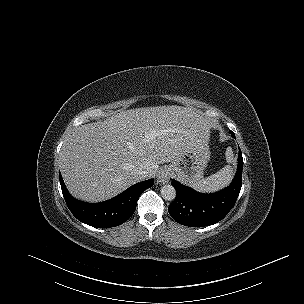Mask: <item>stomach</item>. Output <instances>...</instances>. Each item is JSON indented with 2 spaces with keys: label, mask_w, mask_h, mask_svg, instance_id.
I'll return each mask as SVG.
<instances>
[{
  "label": "stomach",
  "mask_w": 304,
  "mask_h": 304,
  "mask_svg": "<svg viewBox=\"0 0 304 304\" xmlns=\"http://www.w3.org/2000/svg\"><path fill=\"white\" fill-rule=\"evenodd\" d=\"M209 158L208 147H194L186 151L179 160L173 161L168 168L179 181L195 186L203 178Z\"/></svg>",
  "instance_id": "obj_1"
}]
</instances>
